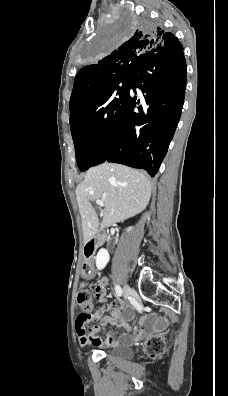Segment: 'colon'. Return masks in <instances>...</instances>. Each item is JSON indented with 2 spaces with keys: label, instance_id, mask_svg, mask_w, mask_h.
<instances>
[{
  "label": "colon",
  "instance_id": "obj_1",
  "mask_svg": "<svg viewBox=\"0 0 228 396\" xmlns=\"http://www.w3.org/2000/svg\"><path fill=\"white\" fill-rule=\"evenodd\" d=\"M77 304L81 310L77 323L85 326L94 319L95 313L93 312V299L90 291L82 288L77 295ZM148 348L152 355L159 356L164 352V342L160 338L151 339L148 342Z\"/></svg>",
  "mask_w": 228,
  "mask_h": 396
}]
</instances>
